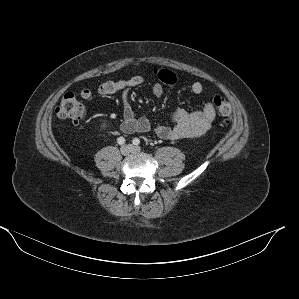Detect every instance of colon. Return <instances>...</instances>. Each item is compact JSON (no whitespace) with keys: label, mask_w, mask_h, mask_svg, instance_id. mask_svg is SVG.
<instances>
[{"label":"colon","mask_w":299,"mask_h":299,"mask_svg":"<svg viewBox=\"0 0 299 299\" xmlns=\"http://www.w3.org/2000/svg\"><path fill=\"white\" fill-rule=\"evenodd\" d=\"M213 103L223 119V122L230 124L232 122L231 104L222 96H216ZM57 116L62 119L71 120L78 123L86 114L85 106L78 100L75 94H66L56 109Z\"/></svg>","instance_id":"1"}]
</instances>
